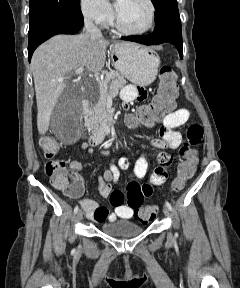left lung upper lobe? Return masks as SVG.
Returning <instances> with one entry per match:
<instances>
[{"label": "left lung upper lobe", "instance_id": "1", "mask_svg": "<svg viewBox=\"0 0 240 288\" xmlns=\"http://www.w3.org/2000/svg\"><path fill=\"white\" fill-rule=\"evenodd\" d=\"M155 13V29L159 30L166 27L181 28L179 10L176 0H151Z\"/></svg>", "mask_w": 240, "mask_h": 288}]
</instances>
